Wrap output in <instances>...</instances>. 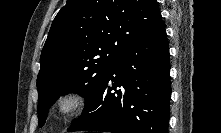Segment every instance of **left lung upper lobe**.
<instances>
[{"mask_svg":"<svg viewBox=\"0 0 221 133\" xmlns=\"http://www.w3.org/2000/svg\"><path fill=\"white\" fill-rule=\"evenodd\" d=\"M160 17L156 0H67L40 56L39 126L63 94H81L86 107L122 50Z\"/></svg>","mask_w":221,"mask_h":133,"instance_id":"left-lung-upper-lobe-1","label":"left lung upper lobe"}]
</instances>
